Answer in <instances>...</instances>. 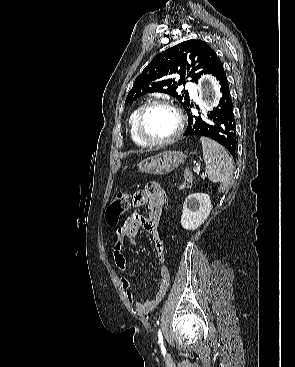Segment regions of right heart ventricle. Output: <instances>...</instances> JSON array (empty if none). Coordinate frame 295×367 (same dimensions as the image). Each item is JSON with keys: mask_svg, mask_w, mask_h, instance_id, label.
I'll return each instance as SVG.
<instances>
[{"mask_svg": "<svg viewBox=\"0 0 295 367\" xmlns=\"http://www.w3.org/2000/svg\"><path fill=\"white\" fill-rule=\"evenodd\" d=\"M141 107H137L135 108L129 118H128V125H129V133H130V137L132 139V141L137 144L138 146H141V147H145L146 145L138 138L137 134H136V131H135V120H136V117H137V114L139 112V109Z\"/></svg>", "mask_w": 295, "mask_h": 367, "instance_id": "1", "label": "right heart ventricle"}]
</instances>
